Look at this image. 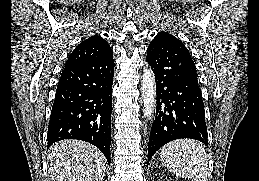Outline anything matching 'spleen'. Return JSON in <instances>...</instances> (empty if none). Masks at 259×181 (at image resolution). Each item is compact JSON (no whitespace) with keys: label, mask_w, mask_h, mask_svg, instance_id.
<instances>
[{"label":"spleen","mask_w":259,"mask_h":181,"mask_svg":"<svg viewBox=\"0 0 259 181\" xmlns=\"http://www.w3.org/2000/svg\"><path fill=\"white\" fill-rule=\"evenodd\" d=\"M164 166L175 176L192 181H209L207 154L203 145L192 139L169 142L160 149Z\"/></svg>","instance_id":"obj_1"}]
</instances>
